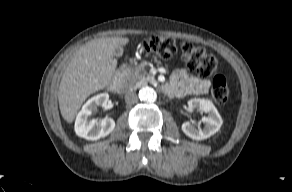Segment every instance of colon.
<instances>
[{
	"label": "colon",
	"mask_w": 292,
	"mask_h": 192,
	"mask_svg": "<svg viewBox=\"0 0 292 192\" xmlns=\"http://www.w3.org/2000/svg\"><path fill=\"white\" fill-rule=\"evenodd\" d=\"M147 53L167 59L180 52L186 65L201 77H208L219 68L217 57L206 48L189 41L177 40L173 37L154 35L142 43ZM229 86L226 79L217 75L213 79L211 94L214 101L223 104L229 97Z\"/></svg>",
	"instance_id": "5ec220e1"
}]
</instances>
